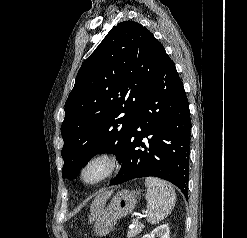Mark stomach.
<instances>
[{
	"mask_svg": "<svg viewBox=\"0 0 247 238\" xmlns=\"http://www.w3.org/2000/svg\"><path fill=\"white\" fill-rule=\"evenodd\" d=\"M141 196L140 190H121L113 196L108 207L97 217L94 232L97 236H105L114 228L116 222L130 214Z\"/></svg>",
	"mask_w": 247,
	"mask_h": 238,
	"instance_id": "obj_1",
	"label": "stomach"
}]
</instances>
